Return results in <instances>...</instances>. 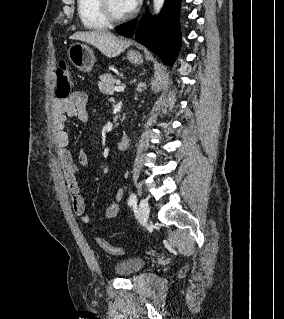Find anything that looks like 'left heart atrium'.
<instances>
[{
    "label": "left heart atrium",
    "mask_w": 284,
    "mask_h": 319,
    "mask_svg": "<svg viewBox=\"0 0 284 319\" xmlns=\"http://www.w3.org/2000/svg\"><path fill=\"white\" fill-rule=\"evenodd\" d=\"M129 11H133L139 4L140 0H124Z\"/></svg>",
    "instance_id": "left-heart-atrium-1"
}]
</instances>
